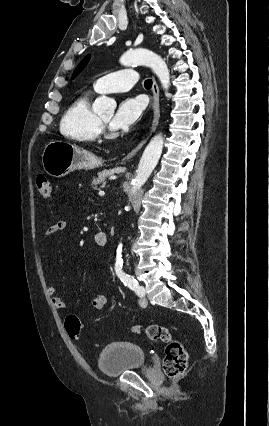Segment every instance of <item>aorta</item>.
<instances>
[{
	"mask_svg": "<svg viewBox=\"0 0 269 426\" xmlns=\"http://www.w3.org/2000/svg\"><path fill=\"white\" fill-rule=\"evenodd\" d=\"M120 63L124 66L145 65L150 67L159 78L163 89L167 90L170 86V73L166 62L156 53L148 49H135L128 51L120 58ZM116 107L113 99L102 96L93 103V111L97 114H112ZM163 135H155L145 148L140 159L135 178L132 181L131 195H135L138 190L146 183L152 171L156 167L163 150ZM122 244L117 248L116 262H122L121 259Z\"/></svg>",
	"mask_w": 269,
	"mask_h": 426,
	"instance_id": "aorta-1",
	"label": "aorta"
}]
</instances>
